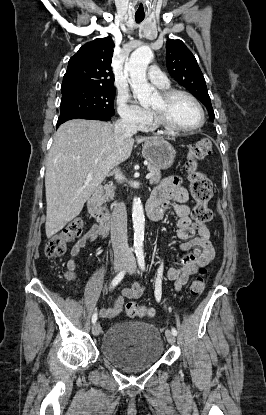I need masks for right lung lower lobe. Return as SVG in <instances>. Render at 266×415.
Here are the masks:
<instances>
[{"instance_id": "98d812e1", "label": "right lung lower lobe", "mask_w": 266, "mask_h": 415, "mask_svg": "<svg viewBox=\"0 0 266 415\" xmlns=\"http://www.w3.org/2000/svg\"><path fill=\"white\" fill-rule=\"evenodd\" d=\"M90 119V120H102V121H108L111 119V116L103 115V114H96V113H79V112H66L61 113L56 128H58L62 123L71 120V119Z\"/></svg>"}]
</instances>
